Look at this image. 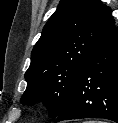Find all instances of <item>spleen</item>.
<instances>
[{
	"label": "spleen",
	"instance_id": "obj_1",
	"mask_svg": "<svg viewBox=\"0 0 118 123\" xmlns=\"http://www.w3.org/2000/svg\"><path fill=\"white\" fill-rule=\"evenodd\" d=\"M85 123H103V122H97V121H89V122H85Z\"/></svg>",
	"mask_w": 118,
	"mask_h": 123
}]
</instances>
